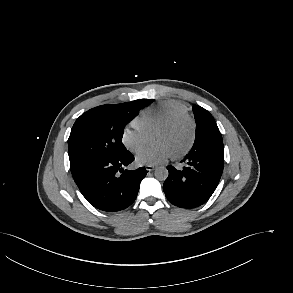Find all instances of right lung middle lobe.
<instances>
[{
    "mask_svg": "<svg viewBox=\"0 0 293 293\" xmlns=\"http://www.w3.org/2000/svg\"><path fill=\"white\" fill-rule=\"evenodd\" d=\"M151 102L140 99L102 105L83 113L73 125L68 139L72 175L97 160L126 152L122 137L127 116L134 108L140 110Z\"/></svg>",
    "mask_w": 293,
    "mask_h": 293,
    "instance_id": "obj_1",
    "label": "right lung middle lobe"
}]
</instances>
